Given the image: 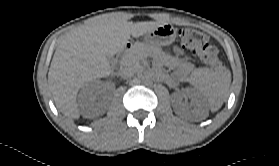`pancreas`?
<instances>
[{
	"instance_id": "obj_1",
	"label": "pancreas",
	"mask_w": 279,
	"mask_h": 166,
	"mask_svg": "<svg viewBox=\"0 0 279 166\" xmlns=\"http://www.w3.org/2000/svg\"><path fill=\"white\" fill-rule=\"evenodd\" d=\"M160 48L155 46L137 42L133 45L132 49L127 52L121 59V65L125 68L138 69L141 66V61L151 53H157ZM168 58L175 65H179V60L175 57L168 55Z\"/></svg>"
}]
</instances>
